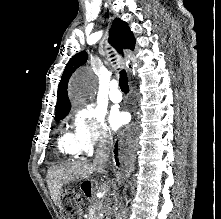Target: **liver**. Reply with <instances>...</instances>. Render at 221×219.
I'll list each match as a JSON object with an SVG mask.
<instances>
[{
    "label": "liver",
    "instance_id": "obj_1",
    "mask_svg": "<svg viewBox=\"0 0 221 219\" xmlns=\"http://www.w3.org/2000/svg\"><path fill=\"white\" fill-rule=\"evenodd\" d=\"M94 171H96V168L93 164L81 161L70 162L50 168L47 172V184L54 204H59L61 190L64 185L74 181L88 179ZM111 187L112 182L108 180L107 182L100 184L97 188V193L106 197L109 194ZM109 209L110 208L107 210L108 212Z\"/></svg>",
    "mask_w": 221,
    "mask_h": 219
}]
</instances>
